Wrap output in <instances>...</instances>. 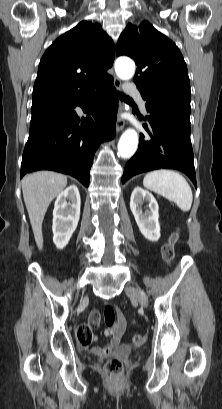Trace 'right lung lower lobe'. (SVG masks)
Listing matches in <instances>:
<instances>
[{"label":"right lung lower lobe","mask_w":222,"mask_h":409,"mask_svg":"<svg viewBox=\"0 0 222 409\" xmlns=\"http://www.w3.org/2000/svg\"><path fill=\"white\" fill-rule=\"evenodd\" d=\"M76 106L87 116L80 119ZM117 108L111 78L80 99L32 112L20 178L37 170H53L71 175L87 187L95 151L101 142L115 136Z\"/></svg>","instance_id":"obj_1"}]
</instances>
